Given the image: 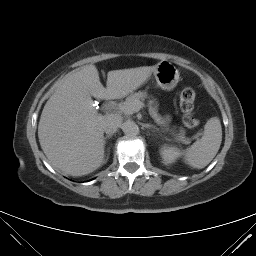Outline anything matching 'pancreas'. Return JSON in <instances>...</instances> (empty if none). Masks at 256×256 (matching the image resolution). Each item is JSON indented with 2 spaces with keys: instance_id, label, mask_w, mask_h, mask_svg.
<instances>
[{
  "instance_id": "obj_1",
  "label": "pancreas",
  "mask_w": 256,
  "mask_h": 256,
  "mask_svg": "<svg viewBox=\"0 0 256 256\" xmlns=\"http://www.w3.org/2000/svg\"><path fill=\"white\" fill-rule=\"evenodd\" d=\"M145 98H147V94L146 92H137L134 94H131L130 96H128L125 100V102L121 103L120 105L125 106V107H132L136 102H141V100H144ZM142 103V102H141ZM143 104V103H142ZM124 114H133V111H127L125 109H120ZM166 131H170L174 136L180 138L181 141H183L185 144L190 143L191 139L186 138L185 137V129L180 127L179 128V133H176V127L174 126L173 128H166Z\"/></svg>"
}]
</instances>
